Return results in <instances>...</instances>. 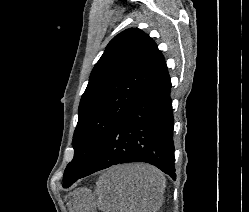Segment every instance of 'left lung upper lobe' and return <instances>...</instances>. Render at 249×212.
I'll return each mask as SVG.
<instances>
[{"mask_svg":"<svg viewBox=\"0 0 249 212\" xmlns=\"http://www.w3.org/2000/svg\"><path fill=\"white\" fill-rule=\"evenodd\" d=\"M164 62L155 42L140 29L129 28L109 42L80 101L74 157L65 169L63 187L87 171L120 116Z\"/></svg>","mask_w":249,"mask_h":212,"instance_id":"left-lung-upper-lobe-1","label":"left lung upper lobe"}]
</instances>
